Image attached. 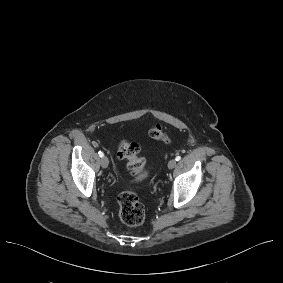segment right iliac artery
Wrapping results in <instances>:
<instances>
[{"mask_svg": "<svg viewBox=\"0 0 283 283\" xmlns=\"http://www.w3.org/2000/svg\"><path fill=\"white\" fill-rule=\"evenodd\" d=\"M99 156L102 158L104 156L103 152L102 151H99L98 152Z\"/></svg>", "mask_w": 283, "mask_h": 283, "instance_id": "1", "label": "right iliac artery"}]
</instances>
